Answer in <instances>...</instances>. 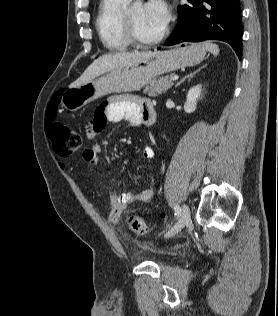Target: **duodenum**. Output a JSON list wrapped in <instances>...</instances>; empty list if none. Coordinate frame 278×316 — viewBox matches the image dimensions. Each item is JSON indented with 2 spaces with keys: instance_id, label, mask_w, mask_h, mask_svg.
Wrapping results in <instances>:
<instances>
[{
  "instance_id": "410a0bca",
  "label": "duodenum",
  "mask_w": 278,
  "mask_h": 316,
  "mask_svg": "<svg viewBox=\"0 0 278 316\" xmlns=\"http://www.w3.org/2000/svg\"><path fill=\"white\" fill-rule=\"evenodd\" d=\"M156 119L157 115L155 109L153 107L148 108L144 114V123L150 126L156 122Z\"/></svg>"
}]
</instances>
